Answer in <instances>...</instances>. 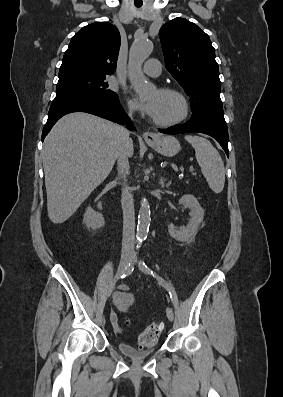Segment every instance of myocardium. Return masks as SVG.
I'll use <instances>...</instances> for the list:
<instances>
[{
  "label": "myocardium",
  "mask_w": 283,
  "mask_h": 397,
  "mask_svg": "<svg viewBox=\"0 0 283 397\" xmlns=\"http://www.w3.org/2000/svg\"><path fill=\"white\" fill-rule=\"evenodd\" d=\"M160 93H165V94H173L175 96H177L181 103H182V112L181 114L171 120H167V121H159L156 120L154 118H152V122L160 127H171V126H175L180 124L181 122H183L189 115L190 112V103L188 98L186 97V95L179 89L174 88V87H162L158 90Z\"/></svg>",
  "instance_id": "1"
}]
</instances>
